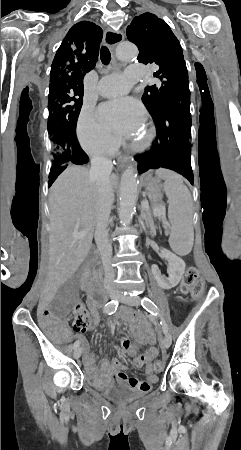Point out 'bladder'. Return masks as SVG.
<instances>
[{"instance_id":"obj_1","label":"bladder","mask_w":241,"mask_h":450,"mask_svg":"<svg viewBox=\"0 0 241 450\" xmlns=\"http://www.w3.org/2000/svg\"><path fill=\"white\" fill-rule=\"evenodd\" d=\"M104 395L112 401L125 403L141 396V393L123 382H115L103 390Z\"/></svg>"}]
</instances>
